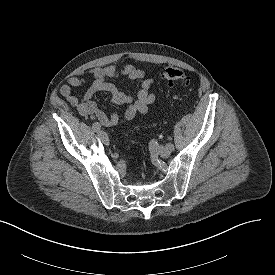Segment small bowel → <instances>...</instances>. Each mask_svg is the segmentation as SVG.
<instances>
[{"instance_id":"obj_1","label":"small bowel","mask_w":275,"mask_h":275,"mask_svg":"<svg viewBox=\"0 0 275 275\" xmlns=\"http://www.w3.org/2000/svg\"><path fill=\"white\" fill-rule=\"evenodd\" d=\"M120 76L126 77L138 84L135 96L121 92L109 81ZM90 78L93 82L84 96L82 98L73 96L72 88L84 85ZM153 85L154 79L148 77L142 69L134 65H126L119 68L116 64H110L105 67L91 68L84 76L68 78L67 83L62 85L59 91L77 109L82 117L96 120L98 124L103 126L112 127L130 122L139 113L147 114L150 111V105L156 101L155 94L151 92ZM101 91L110 94L113 104L127 106L122 116L117 112L107 115L96 105L92 98Z\"/></svg>"}]
</instances>
